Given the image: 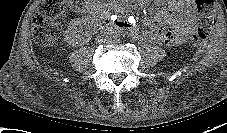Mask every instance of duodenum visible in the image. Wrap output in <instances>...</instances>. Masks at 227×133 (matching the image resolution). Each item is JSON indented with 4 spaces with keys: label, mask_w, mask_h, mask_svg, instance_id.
I'll return each mask as SVG.
<instances>
[{
    "label": "duodenum",
    "mask_w": 227,
    "mask_h": 133,
    "mask_svg": "<svg viewBox=\"0 0 227 133\" xmlns=\"http://www.w3.org/2000/svg\"><path fill=\"white\" fill-rule=\"evenodd\" d=\"M101 28L105 32L121 31L126 29L125 25L121 21H112L111 19L105 20L101 24Z\"/></svg>",
    "instance_id": "duodenum-1"
}]
</instances>
